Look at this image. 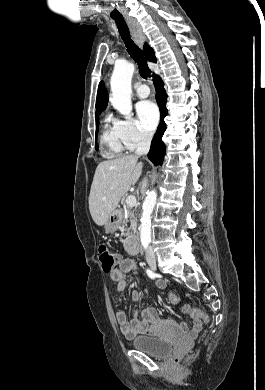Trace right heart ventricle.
Listing matches in <instances>:
<instances>
[{"label":"right heart ventricle","instance_id":"right-heart-ventricle-1","mask_svg":"<svg viewBox=\"0 0 265 390\" xmlns=\"http://www.w3.org/2000/svg\"><path fill=\"white\" fill-rule=\"evenodd\" d=\"M103 155L109 158L120 156L126 149L115 120L111 116L105 118V124L101 135Z\"/></svg>","mask_w":265,"mask_h":390}]
</instances>
